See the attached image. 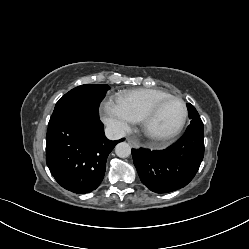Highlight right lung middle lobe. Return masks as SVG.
Instances as JSON below:
<instances>
[{
	"instance_id": "obj_1",
	"label": "right lung middle lobe",
	"mask_w": 249,
	"mask_h": 249,
	"mask_svg": "<svg viewBox=\"0 0 249 249\" xmlns=\"http://www.w3.org/2000/svg\"><path fill=\"white\" fill-rule=\"evenodd\" d=\"M109 89L108 85L85 84L70 90L56 103L48 127L75 114H98L99 104Z\"/></svg>"
}]
</instances>
